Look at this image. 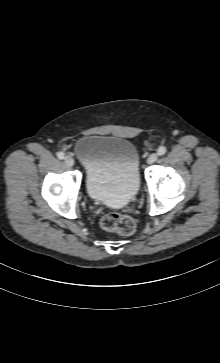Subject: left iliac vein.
<instances>
[{"mask_svg": "<svg viewBox=\"0 0 220 363\" xmlns=\"http://www.w3.org/2000/svg\"><path fill=\"white\" fill-rule=\"evenodd\" d=\"M157 159H158V155H157V154H155V153H153V154H151V155L148 157V159H147V163H148V164H152V163L156 162V161H157Z\"/></svg>", "mask_w": 220, "mask_h": 363, "instance_id": "obj_1", "label": "left iliac vein"}]
</instances>
